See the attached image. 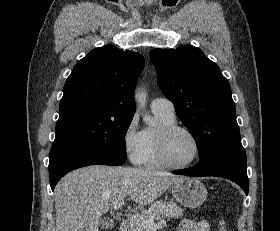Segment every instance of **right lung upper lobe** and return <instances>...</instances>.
Listing matches in <instances>:
<instances>
[{"label":"right lung upper lobe","mask_w":280,"mask_h":231,"mask_svg":"<svg viewBox=\"0 0 280 231\" xmlns=\"http://www.w3.org/2000/svg\"><path fill=\"white\" fill-rule=\"evenodd\" d=\"M144 58L112 45L96 48L73 68L64 85L59 120L135 113L134 90Z\"/></svg>","instance_id":"1"}]
</instances>
